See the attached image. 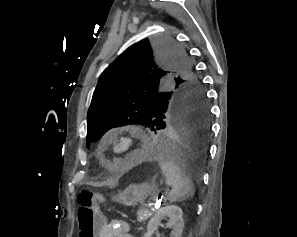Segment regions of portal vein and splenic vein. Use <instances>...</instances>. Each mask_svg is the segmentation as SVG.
Returning a JSON list of instances; mask_svg holds the SVG:
<instances>
[{
  "mask_svg": "<svg viewBox=\"0 0 297 237\" xmlns=\"http://www.w3.org/2000/svg\"><path fill=\"white\" fill-rule=\"evenodd\" d=\"M153 205H154V204H153L152 202H150V203L148 204V207H149V208H153Z\"/></svg>",
  "mask_w": 297,
  "mask_h": 237,
  "instance_id": "obj_1",
  "label": "portal vein and splenic vein"
}]
</instances>
